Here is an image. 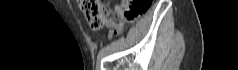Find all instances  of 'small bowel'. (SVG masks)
<instances>
[{"instance_id":"1","label":"small bowel","mask_w":238,"mask_h":70,"mask_svg":"<svg viewBox=\"0 0 238 70\" xmlns=\"http://www.w3.org/2000/svg\"><path fill=\"white\" fill-rule=\"evenodd\" d=\"M106 24L109 28L112 29V33L114 34L118 33L122 27L121 25L116 24L113 20H108Z\"/></svg>"}]
</instances>
